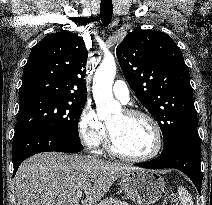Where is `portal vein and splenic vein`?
Here are the masks:
<instances>
[{
  "label": "portal vein and splenic vein",
  "mask_w": 212,
  "mask_h": 205,
  "mask_svg": "<svg viewBox=\"0 0 212 205\" xmlns=\"http://www.w3.org/2000/svg\"><path fill=\"white\" fill-rule=\"evenodd\" d=\"M82 196V192L81 191H78L77 194H76V198L80 199Z\"/></svg>",
  "instance_id": "1"
}]
</instances>
